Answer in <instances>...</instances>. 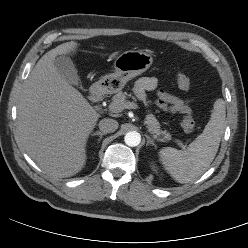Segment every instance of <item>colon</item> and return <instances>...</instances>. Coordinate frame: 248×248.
<instances>
[{
    "mask_svg": "<svg viewBox=\"0 0 248 248\" xmlns=\"http://www.w3.org/2000/svg\"><path fill=\"white\" fill-rule=\"evenodd\" d=\"M176 83H177L178 87L182 90H187L190 87L189 79L183 74L177 75ZM181 126L185 132H187V133L193 132L194 128H195V122H194L192 116L186 115L182 120Z\"/></svg>",
    "mask_w": 248,
    "mask_h": 248,
    "instance_id": "1",
    "label": "colon"
}]
</instances>
